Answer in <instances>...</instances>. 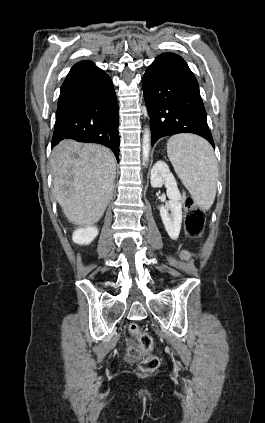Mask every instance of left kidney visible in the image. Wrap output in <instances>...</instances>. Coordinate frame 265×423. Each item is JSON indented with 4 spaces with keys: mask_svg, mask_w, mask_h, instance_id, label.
<instances>
[{
    "mask_svg": "<svg viewBox=\"0 0 265 423\" xmlns=\"http://www.w3.org/2000/svg\"><path fill=\"white\" fill-rule=\"evenodd\" d=\"M151 185L159 188L165 185L169 202L160 206V216L171 239L179 237L182 223V197L176 180L164 161H157L151 170ZM170 211V213H169Z\"/></svg>",
    "mask_w": 265,
    "mask_h": 423,
    "instance_id": "1",
    "label": "left kidney"
}]
</instances>
